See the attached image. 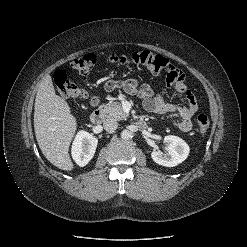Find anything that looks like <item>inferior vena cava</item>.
Segmentation results:
<instances>
[{"mask_svg":"<svg viewBox=\"0 0 247 247\" xmlns=\"http://www.w3.org/2000/svg\"><path fill=\"white\" fill-rule=\"evenodd\" d=\"M104 125V129L108 132H112V131H115L118 127V123L116 122L115 119H106L103 123Z\"/></svg>","mask_w":247,"mask_h":247,"instance_id":"1","label":"inferior vena cava"}]
</instances>
